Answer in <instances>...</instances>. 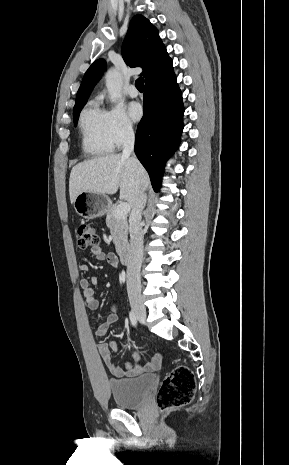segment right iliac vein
Masks as SVG:
<instances>
[{"label": "right iliac vein", "instance_id": "right-iliac-vein-1", "mask_svg": "<svg viewBox=\"0 0 289 465\" xmlns=\"http://www.w3.org/2000/svg\"><path fill=\"white\" fill-rule=\"evenodd\" d=\"M133 312L136 314L138 320L145 323L146 320V309L143 303L139 299H131L130 301Z\"/></svg>", "mask_w": 289, "mask_h": 465}]
</instances>
